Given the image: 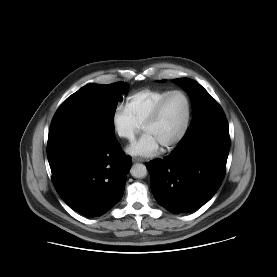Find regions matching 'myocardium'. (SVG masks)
Instances as JSON below:
<instances>
[{"label": "myocardium", "mask_w": 277, "mask_h": 277, "mask_svg": "<svg viewBox=\"0 0 277 277\" xmlns=\"http://www.w3.org/2000/svg\"><path fill=\"white\" fill-rule=\"evenodd\" d=\"M175 94H180L182 95L187 103V115H186V120L184 123V126L181 130V132L179 133V135L173 139L171 142H169L168 144L164 145L163 148L165 150H172L174 149L177 145H179L184 138L186 137L190 125H191V120H192V112H193V107H192V101L190 96L188 95L187 92L183 91V90H172L169 93H167L156 105V107L154 108L153 112L151 113V115L148 117V119L145 121V123L143 124V130L145 131V129L154 124L155 122L158 121V119L160 118L163 108L166 104V102L169 100V98Z\"/></svg>", "instance_id": "f54148a6"}]
</instances>
